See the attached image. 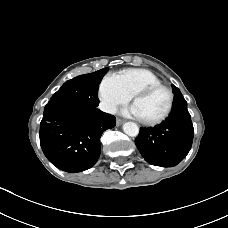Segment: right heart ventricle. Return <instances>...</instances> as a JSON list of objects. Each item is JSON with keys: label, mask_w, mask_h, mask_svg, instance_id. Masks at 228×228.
Listing matches in <instances>:
<instances>
[{"label": "right heart ventricle", "mask_w": 228, "mask_h": 228, "mask_svg": "<svg viewBox=\"0 0 228 228\" xmlns=\"http://www.w3.org/2000/svg\"><path fill=\"white\" fill-rule=\"evenodd\" d=\"M117 75L130 96L145 86L161 83V80L152 71L144 68H128Z\"/></svg>", "instance_id": "1"}]
</instances>
